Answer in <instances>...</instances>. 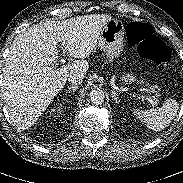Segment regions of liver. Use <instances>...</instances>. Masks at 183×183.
Masks as SVG:
<instances>
[{
  "instance_id": "6515ba94",
  "label": "liver",
  "mask_w": 183,
  "mask_h": 183,
  "mask_svg": "<svg viewBox=\"0 0 183 183\" xmlns=\"http://www.w3.org/2000/svg\"><path fill=\"white\" fill-rule=\"evenodd\" d=\"M111 19L110 15L91 14L45 21L15 38L6 58L1 87L13 122L21 129H28L62 90L70 75L84 76L89 68L85 59ZM59 42L71 57L80 60L56 69Z\"/></svg>"
}]
</instances>
